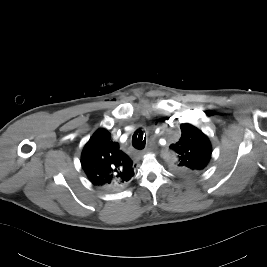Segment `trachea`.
Masks as SVG:
<instances>
[{
	"mask_svg": "<svg viewBox=\"0 0 267 267\" xmlns=\"http://www.w3.org/2000/svg\"><path fill=\"white\" fill-rule=\"evenodd\" d=\"M132 145L138 150H142L146 145V135L143 137L142 131H136L132 136Z\"/></svg>",
	"mask_w": 267,
	"mask_h": 267,
	"instance_id": "3493384b",
	"label": "trachea"
}]
</instances>
